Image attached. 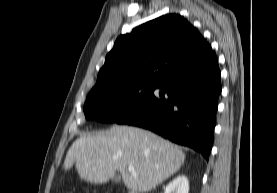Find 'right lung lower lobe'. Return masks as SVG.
<instances>
[{"instance_id":"98d812e1","label":"right lung lower lobe","mask_w":277,"mask_h":193,"mask_svg":"<svg viewBox=\"0 0 277 193\" xmlns=\"http://www.w3.org/2000/svg\"><path fill=\"white\" fill-rule=\"evenodd\" d=\"M221 72L216 54L164 81L167 93L150 99L118 123L149 129L200 152L208 160L215 127Z\"/></svg>"}]
</instances>
